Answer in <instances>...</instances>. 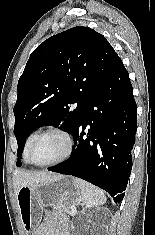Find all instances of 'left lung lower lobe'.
I'll use <instances>...</instances> for the list:
<instances>
[{"instance_id": "obj_1", "label": "left lung lower lobe", "mask_w": 155, "mask_h": 235, "mask_svg": "<svg viewBox=\"0 0 155 235\" xmlns=\"http://www.w3.org/2000/svg\"><path fill=\"white\" fill-rule=\"evenodd\" d=\"M87 125L90 128L85 132ZM136 130L133 89L119 59L89 100L72 133L70 158L48 170L86 180L107 191L115 203L121 202L131 173Z\"/></svg>"}]
</instances>
